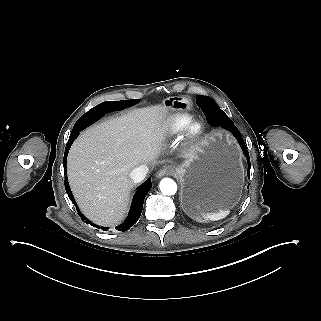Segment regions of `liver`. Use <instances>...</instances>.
<instances>
[{
	"label": "liver",
	"instance_id": "6515ba94",
	"mask_svg": "<svg viewBox=\"0 0 321 321\" xmlns=\"http://www.w3.org/2000/svg\"><path fill=\"white\" fill-rule=\"evenodd\" d=\"M167 109L161 105L134 108L83 131L67 158L73 195L93 222L120 223L128 209L134 181L130 172L152 163L165 146Z\"/></svg>",
	"mask_w": 321,
	"mask_h": 321
}]
</instances>
